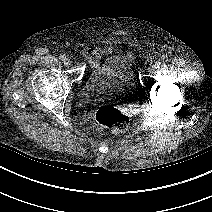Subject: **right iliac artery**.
Here are the masks:
<instances>
[{"label": "right iliac artery", "mask_w": 212, "mask_h": 212, "mask_svg": "<svg viewBox=\"0 0 212 212\" xmlns=\"http://www.w3.org/2000/svg\"><path fill=\"white\" fill-rule=\"evenodd\" d=\"M65 58H66V56H65L64 54H61V55L59 56V59H60L61 61H64Z\"/></svg>", "instance_id": "obj_1"}]
</instances>
